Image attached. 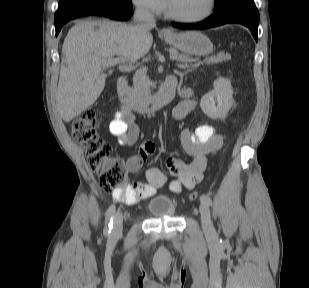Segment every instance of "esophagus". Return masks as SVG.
<instances>
[{
    "mask_svg": "<svg viewBox=\"0 0 309 288\" xmlns=\"http://www.w3.org/2000/svg\"><path fill=\"white\" fill-rule=\"evenodd\" d=\"M161 32H162L163 34H170V30H168L167 28H163V29L161 30Z\"/></svg>",
    "mask_w": 309,
    "mask_h": 288,
    "instance_id": "obj_1",
    "label": "esophagus"
}]
</instances>
